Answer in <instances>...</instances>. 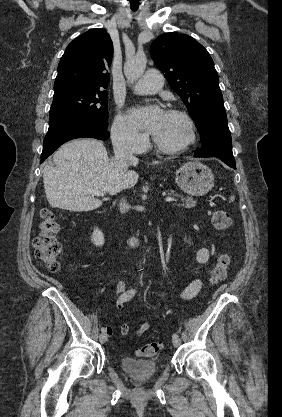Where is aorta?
<instances>
[{
  "instance_id": "1",
  "label": "aorta",
  "mask_w": 282,
  "mask_h": 417,
  "mask_svg": "<svg viewBox=\"0 0 282 417\" xmlns=\"http://www.w3.org/2000/svg\"><path fill=\"white\" fill-rule=\"evenodd\" d=\"M147 64V56L145 54H135L131 58H127L124 64V72L126 78L133 82L142 76Z\"/></svg>"
}]
</instances>
